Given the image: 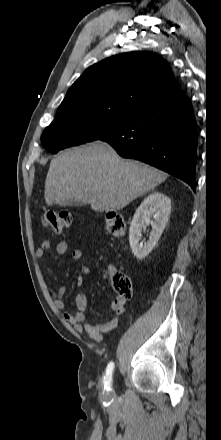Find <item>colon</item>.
<instances>
[{
    "label": "colon",
    "instance_id": "5ec220e1",
    "mask_svg": "<svg viewBox=\"0 0 221 440\" xmlns=\"http://www.w3.org/2000/svg\"><path fill=\"white\" fill-rule=\"evenodd\" d=\"M72 222V214L68 210L59 212L48 210L42 215V223L44 226L52 229L56 233L67 231L71 227ZM105 226L108 233L115 237L122 236L126 230L124 218L117 212H108L106 214ZM109 276L117 297L124 299H129L132 297V281L127 274L115 271L110 273Z\"/></svg>",
    "mask_w": 221,
    "mask_h": 440
}]
</instances>
